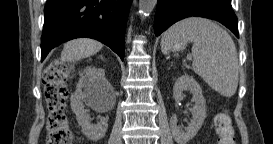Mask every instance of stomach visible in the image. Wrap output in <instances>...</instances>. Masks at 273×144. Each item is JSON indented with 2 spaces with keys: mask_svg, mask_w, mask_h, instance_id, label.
Instances as JSON below:
<instances>
[{
  "mask_svg": "<svg viewBox=\"0 0 273 144\" xmlns=\"http://www.w3.org/2000/svg\"><path fill=\"white\" fill-rule=\"evenodd\" d=\"M185 45H186V42L175 41L170 45L169 50H171V51H180V50L184 49Z\"/></svg>",
  "mask_w": 273,
  "mask_h": 144,
  "instance_id": "0dacf381",
  "label": "stomach"
}]
</instances>
